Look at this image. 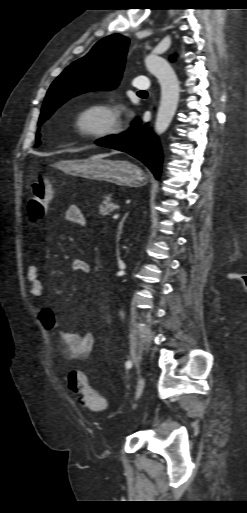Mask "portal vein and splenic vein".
Returning <instances> with one entry per match:
<instances>
[{"label": "portal vein and splenic vein", "mask_w": 247, "mask_h": 513, "mask_svg": "<svg viewBox=\"0 0 247 513\" xmlns=\"http://www.w3.org/2000/svg\"><path fill=\"white\" fill-rule=\"evenodd\" d=\"M118 218V215H114L113 216V219H117ZM118 239H120L118 236H117Z\"/></svg>", "instance_id": "1"}]
</instances>
